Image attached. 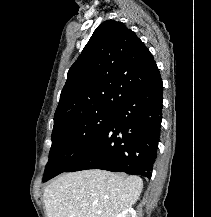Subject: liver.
I'll list each match as a JSON object with an SVG mask.
<instances>
[{"instance_id": "1", "label": "liver", "mask_w": 211, "mask_h": 217, "mask_svg": "<svg viewBox=\"0 0 211 217\" xmlns=\"http://www.w3.org/2000/svg\"><path fill=\"white\" fill-rule=\"evenodd\" d=\"M143 182L105 170L65 173L44 190L47 217H116L139 199Z\"/></svg>"}]
</instances>
